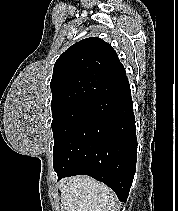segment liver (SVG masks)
Here are the masks:
<instances>
[{
    "label": "liver",
    "mask_w": 178,
    "mask_h": 211,
    "mask_svg": "<svg viewBox=\"0 0 178 211\" xmlns=\"http://www.w3.org/2000/svg\"><path fill=\"white\" fill-rule=\"evenodd\" d=\"M65 211H114L115 194L88 176L65 178L59 183Z\"/></svg>",
    "instance_id": "6515ba94"
}]
</instances>
